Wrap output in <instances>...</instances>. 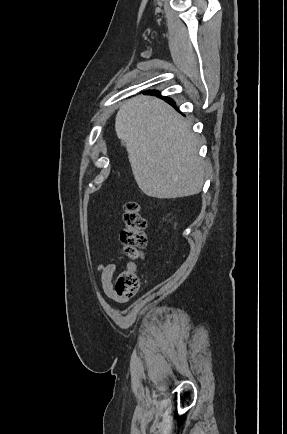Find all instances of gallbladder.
<instances>
[{"label": "gallbladder", "instance_id": "1", "mask_svg": "<svg viewBox=\"0 0 287 434\" xmlns=\"http://www.w3.org/2000/svg\"><path fill=\"white\" fill-rule=\"evenodd\" d=\"M121 143H122V145H125V144H126L125 141H122Z\"/></svg>", "mask_w": 287, "mask_h": 434}]
</instances>
